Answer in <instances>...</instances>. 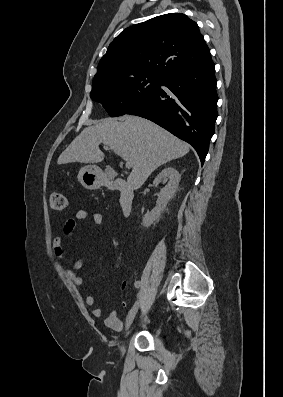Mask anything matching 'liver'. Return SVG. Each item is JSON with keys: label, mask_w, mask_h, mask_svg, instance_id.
Returning <instances> with one entry per match:
<instances>
[{"label": "liver", "mask_w": 283, "mask_h": 397, "mask_svg": "<svg viewBox=\"0 0 283 397\" xmlns=\"http://www.w3.org/2000/svg\"><path fill=\"white\" fill-rule=\"evenodd\" d=\"M109 146L131 164L127 185L139 189L150 174L162 164L186 155L190 146L155 123L125 115L104 119L85 128L59 156L58 164L71 162L98 163L104 153L99 144Z\"/></svg>", "instance_id": "liver-1"}]
</instances>
